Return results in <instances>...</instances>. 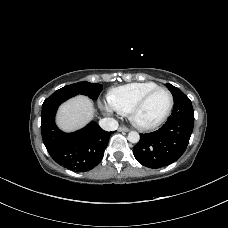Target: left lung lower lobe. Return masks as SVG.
<instances>
[{
    "label": "left lung lower lobe",
    "instance_id": "0a47b994",
    "mask_svg": "<svg viewBox=\"0 0 228 228\" xmlns=\"http://www.w3.org/2000/svg\"><path fill=\"white\" fill-rule=\"evenodd\" d=\"M173 112L157 131L140 134L133 148L135 158L142 165L157 169L181 157L186 150L194 125V111L187 96L174 101Z\"/></svg>",
    "mask_w": 228,
    "mask_h": 228
}]
</instances>
